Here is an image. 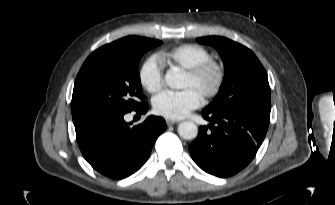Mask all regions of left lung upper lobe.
I'll use <instances>...</instances> for the list:
<instances>
[{"mask_svg": "<svg viewBox=\"0 0 335 205\" xmlns=\"http://www.w3.org/2000/svg\"><path fill=\"white\" fill-rule=\"evenodd\" d=\"M215 47L224 63L225 76L220 90L205 111H251L270 117L271 96L267 73L245 46L224 37L197 38Z\"/></svg>", "mask_w": 335, "mask_h": 205, "instance_id": "obj_1", "label": "left lung upper lobe"}]
</instances>
